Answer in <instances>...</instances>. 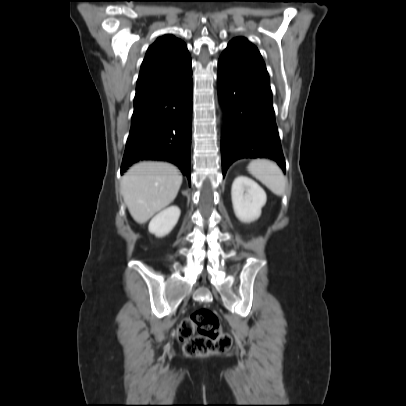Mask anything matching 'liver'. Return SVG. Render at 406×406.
Masks as SVG:
<instances>
[{
	"label": "liver",
	"mask_w": 406,
	"mask_h": 406,
	"mask_svg": "<svg viewBox=\"0 0 406 406\" xmlns=\"http://www.w3.org/2000/svg\"><path fill=\"white\" fill-rule=\"evenodd\" d=\"M180 171L165 162L144 161L132 166L121 180V193L133 219L143 224L176 198Z\"/></svg>",
	"instance_id": "obj_1"
}]
</instances>
